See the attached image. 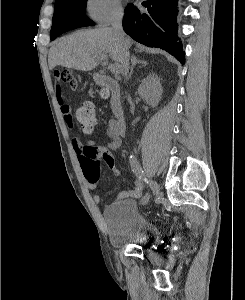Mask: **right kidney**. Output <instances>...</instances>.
<instances>
[{
    "mask_svg": "<svg viewBox=\"0 0 245 300\" xmlns=\"http://www.w3.org/2000/svg\"><path fill=\"white\" fill-rule=\"evenodd\" d=\"M138 92L147 104L152 107L157 106L162 96L160 78L154 73L150 74L141 82Z\"/></svg>",
    "mask_w": 245,
    "mask_h": 300,
    "instance_id": "right-kidney-1",
    "label": "right kidney"
}]
</instances>
